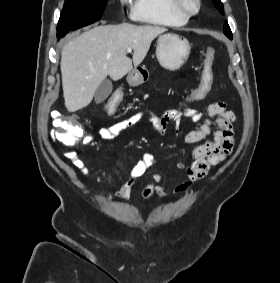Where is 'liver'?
<instances>
[{
    "label": "liver",
    "instance_id": "obj_1",
    "mask_svg": "<svg viewBox=\"0 0 280 283\" xmlns=\"http://www.w3.org/2000/svg\"><path fill=\"white\" fill-rule=\"evenodd\" d=\"M167 29L128 23L94 27L69 41L61 53L65 106L75 112L88 106L109 75L117 81L146 57L152 41ZM128 47L133 58L126 56Z\"/></svg>",
    "mask_w": 280,
    "mask_h": 283
}]
</instances>
